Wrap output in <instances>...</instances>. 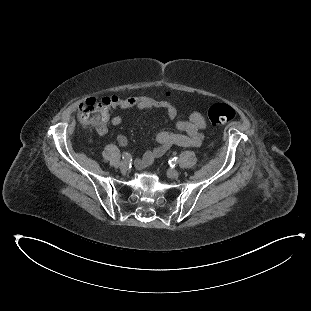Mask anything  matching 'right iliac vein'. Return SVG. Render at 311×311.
<instances>
[{"instance_id":"obj_1","label":"right iliac vein","mask_w":311,"mask_h":311,"mask_svg":"<svg viewBox=\"0 0 311 311\" xmlns=\"http://www.w3.org/2000/svg\"><path fill=\"white\" fill-rule=\"evenodd\" d=\"M119 167H120L121 171L126 172L128 169L127 162H125V161L120 162Z\"/></svg>"}]
</instances>
